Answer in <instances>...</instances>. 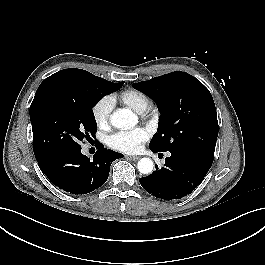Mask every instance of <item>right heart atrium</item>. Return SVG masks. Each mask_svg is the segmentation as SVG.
Instances as JSON below:
<instances>
[{"label": "right heart atrium", "instance_id": "right-heart-atrium-1", "mask_svg": "<svg viewBox=\"0 0 265 265\" xmlns=\"http://www.w3.org/2000/svg\"><path fill=\"white\" fill-rule=\"evenodd\" d=\"M113 109V99L110 96L100 98L92 107V116L99 127H106L110 123Z\"/></svg>", "mask_w": 265, "mask_h": 265}]
</instances>
